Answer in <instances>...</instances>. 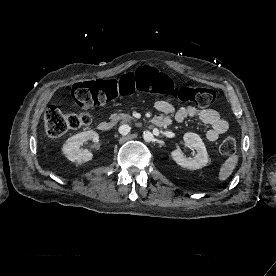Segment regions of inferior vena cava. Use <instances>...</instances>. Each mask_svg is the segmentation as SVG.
I'll return each instance as SVG.
<instances>
[{
    "label": "inferior vena cava",
    "mask_w": 276,
    "mask_h": 276,
    "mask_svg": "<svg viewBox=\"0 0 276 276\" xmlns=\"http://www.w3.org/2000/svg\"><path fill=\"white\" fill-rule=\"evenodd\" d=\"M130 130H131V127L127 124L121 125L119 127V133L122 135L128 134L130 132Z\"/></svg>",
    "instance_id": "obj_1"
}]
</instances>
